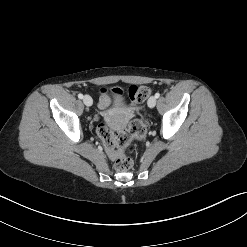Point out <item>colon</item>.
<instances>
[{
  "mask_svg": "<svg viewBox=\"0 0 247 247\" xmlns=\"http://www.w3.org/2000/svg\"><path fill=\"white\" fill-rule=\"evenodd\" d=\"M151 89L147 86L132 85L127 94L130 106L144 102L150 95ZM102 142L115 162L118 171H127L133 166L132 154L136 150V142L146 134L144 124L133 120L129 126L120 132H113L107 125L101 124L98 129Z\"/></svg>",
  "mask_w": 247,
  "mask_h": 247,
  "instance_id": "colon-1",
  "label": "colon"
}]
</instances>
